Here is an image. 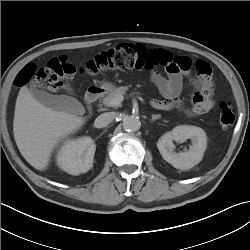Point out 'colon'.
<instances>
[{
  "instance_id": "1",
  "label": "colon",
  "mask_w": 250,
  "mask_h": 250,
  "mask_svg": "<svg viewBox=\"0 0 250 250\" xmlns=\"http://www.w3.org/2000/svg\"><path fill=\"white\" fill-rule=\"evenodd\" d=\"M189 62L182 56H175L163 49H149L138 44L123 43L113 46L97 54L94 58L87 61L79 71L87 75H97L103 71L110 70H152L162 68L168 73L180 72L188 68ZM198 75L202 72L209 74L207 79H202L197 90L193 92L192 103L204 100L205 95L211 89V67L206 62L200 61L196 66ZM76 73L74 65L69 63L63 56L52 58L46 67L37 68L29 63L24 66L17 76L14 83L18 87L27 85L31 80L36 85L50 90L57 91L63 86L64 79ZM219 123L223 129L232 126L235 115L230 103L222 101L218 106Z\"/></svg>"
}]
</instances>
